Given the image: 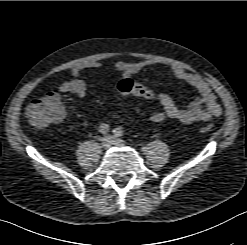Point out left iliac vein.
I'll list each match as a JSON object with an SVG mask.
<instances>
[{"label":"left iliac vein","instance_id":"obj_1","mask_svg":"<svg viewBox=\"0 0 247 245\" xmlns=\"http://www.w3.org/2000/svg\"><path fill=\"white\" fill-rule=\"evenodd\" d=\"M113 138V144L114 145H125L124 141L119 139V138H115V137H112Z\"/></svg>","mask_w":247,"mask_h":245}]
</instances>
